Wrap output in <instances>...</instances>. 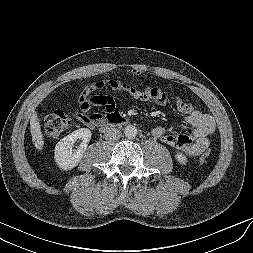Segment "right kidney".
I'll return each instance as SVG.
<instances>
[{"label": "right kidney", "instance_id": "right-kidney-1", "mask_svg": "<svg viewBox=\"0 0 253 253\" xmlns=\"http://www.w3.org/2000/svg\"><path fill=\"white\" fill-rule=\"evenodd\" d=\"M92 133L87 128H80L61 139L55 146V162L61 170H71L81 161L85 150L90 142ZM77 139H81L82 143L73 149V145Z\"/></svg>", "mask_w": 253, "mask_h": 253}]
</instances>
